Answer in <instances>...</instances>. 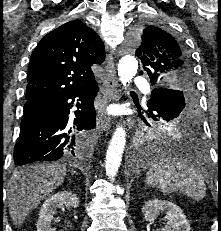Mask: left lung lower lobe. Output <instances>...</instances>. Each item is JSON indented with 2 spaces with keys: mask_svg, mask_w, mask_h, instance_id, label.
I'll return each instance as SVG.
<instances>
[{
  "mask_svg": "<svg viewBox=\"0 0 221 231\" xmlns=\"http://www.w3.org/2000/svg\"><path fill=\"white\" fill-rule=\"evenodd\" d=\"M172 90L155 88L152 91L150 102L161 105L172 103L176 101V98ZM177 107V106H176ZM175 118L172 114L165 115L163 120L169 121ZM201 126L198 121L190 120L181 125L178 129L172 130L164 134V141L166 144L189 153L191 155H197V151L201 148L200 144ZM161 154L160 149L153 148L149 151H136L134 156L138 155V158L144 160H152Z\"/></svg>",
  "mask_w": 221,
  "mask_h": 231,
  "instance_id": "obj_1",
  "label": "left lung lower lobe"
}]
</instances>
